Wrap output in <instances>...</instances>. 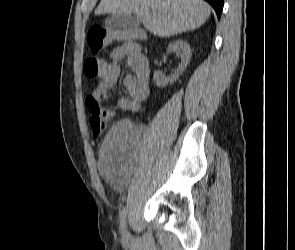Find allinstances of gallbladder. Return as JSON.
<instances>
[{
  "label": "gallbladder",
  "instance_id": "obj_1",
  "mask_svg": "<svg viewBox=\"0 0 295 250\" xmlns=\"http://www.w3.org/2000/svg\"><path fill=\"white\" fill-rule=\"evenodd\" d=\"M141 20L135 14H113L106 18L105 25L111 29H133Z\"/></svg>",
  "mask_w": 295,
  "mask_h": 250
}]
</instances>
